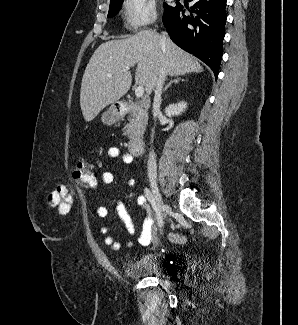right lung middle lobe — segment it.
I'll return each mask as SVG.
<instances>
[{"mask_svg":"<svg viewBox=\"0 0 298 325\" xmlns=\"http://www.w3.org/2000/svg\"><path fill=\"white\" fill-rule=\"evenodd\" d=\"M123 0H116L115 2L110 3V8H109V13H108V18L114 17L118 11L121 8ZM165 5V10H168L171 8V6H168L167 4Z\"/></svg>","mask_w":298,"mask_h":325,"instance_id":"dd1d6c3e","label":"right lung middle lobe"}]
</instances>
